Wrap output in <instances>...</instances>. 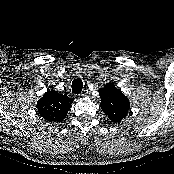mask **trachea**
Returning <instances> with one entry per match:
<instances>
[{"instance_id": "3493384b", "label": "trachea", "mask_w": 174, "mask_h": 174, "mask_svg": "<svg viewBox=\"0 0 174 174\" xmlns=\"http://www.w3.org/2000/svg\"><path fill=\"white\" fill-rule=\"evenodd\" d=\"M83 88V82L80 78H76L73 82H72V93L73 94H79L81 93Z\"/></svg>"}]
</instances>
